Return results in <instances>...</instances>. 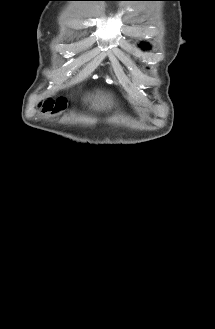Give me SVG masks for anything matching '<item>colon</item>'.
Segmentation results:
<instances>
[{"mask_svg": "<svg viewBox=\"0 0 215 329\" xmlns=\"http://www.w3.org/2000/svg\"><path fill=\"white\" fill-rule=\"evenodd\" d=\"M54 102V104H53ZM53 102L51 100L46 102V107L43 109L45 114H55L56 109L59 114H63L65 112L64 104L66 102L65 96H54Z\"/></svg>", "mask_w": 215, "mask_h": 329, "instance_id": "obj_1", "label": "colon"}]
</instances>
